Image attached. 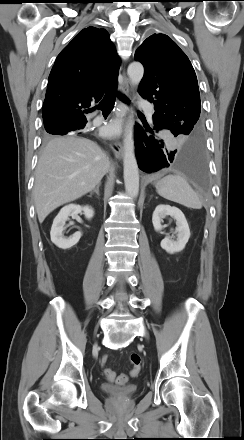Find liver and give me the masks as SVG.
Segmentation results:
<instances>
[{"label": "liver", "instance_id": "obj_1", "mask_svg": "<svg viewBox=\"0 0 244 440\" xmlns=\"http://www.w3.org/2000/svg\"><path fill=\"white\" fill-rule=\"evenodd\" d=\"M109 169V160L93 141L55 137L44 148L35 170L33 196L39 222L57 207L92 191Z\"/></svg>", "mask_w": 244, "mask_h": 440}]
</instances>
